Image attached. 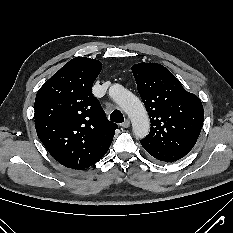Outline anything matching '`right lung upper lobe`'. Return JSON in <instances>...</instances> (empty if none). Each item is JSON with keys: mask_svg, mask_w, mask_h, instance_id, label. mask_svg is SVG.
I'll list each match as a JSON object with an SVG mask.
<instances>
[{"mask_svg": "<svg viewBox=\"0 0 233 233\" xmlns=\"http://www.w3.org/2000/svg\"><path fill=\"white\" fill-rule=\"evenodd\" d=\"M102 69L95 59L76 57L39 89L35 128L45 148L62 165L82 170L108 151L118 126L110 122L92 94Z\"/></svg>", "mask_w": 233, "mask_h": 233, "instance_id": "right-lung-upper-lobe-1", "label": "right lung upper lobe"}]
</instances>
